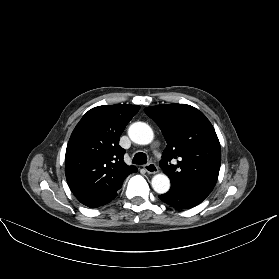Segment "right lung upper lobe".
<instances>
[{"instance_id": "cb5924a9", "label": "right lung upper lobe", "mask_w": 279, "mask_h": 279, "mask_svg": "<svg viewBox=\"0 0 279 279\" xmlns=\"http://www.w3.org/2000/svg\"><path fill=\"white\" fill-rule=\"evenodd\" d=\"M137 105H104L89 110L75 127L67 145L68 185L84 205L96 208L117 196L124 179L137 172L123 160L120 135L139 111Z\"/></svg>"}]
</instances>
